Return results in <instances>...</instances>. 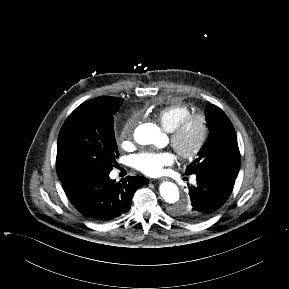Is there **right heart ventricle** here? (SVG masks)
<instances>
[{
    "label": "right heart ventricle",
    "instance_id": "1",
    "mask_svg": "<svg viewBox=\"0 0 289 289\" xmlns=\"http://www.w3.org/2000/svg\"><path fill=\"white\" fill-rule=\"evenodd\" d=\"M190 114L192 110L189 106L178 103L161 108L157 112V119L166 131L171 132L184 117Z\"/></svg>",
    "mask_w": 289,
    "mask_h": 289
}]
</instances>
